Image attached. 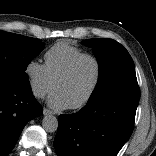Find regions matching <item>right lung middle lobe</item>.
<instances>
[{
	"label": "right lung middle lobe",
	"instance_id": "1",
	"mask_svg": "<svg viewBox=\"0 0 156 156\" xmlns=\"http://www.w3.org/2000/svg\"><path fill=\"white\" fill-rule=\"evenodd\" d=\"M42 49L38 39L0 31V80L29 84L26 68Z\"/></svg>",
	"mask_w": 156,
	"mask_h": 156
}]
</instances>
